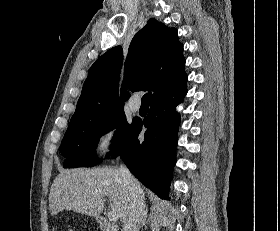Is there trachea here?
I'll list each match as a JSON object with an SVG mask.
<instances>
[{"label":"trachea","mask_w":280,"mask_h":231,"mask_svg":"<svg viewBox=\"0 0 280 231\" xmlns=\"http://www.w3.org/2000/svg\"><path fill=\"white\" fill-rule=\"evenodd\" d=\"M151 96H152V93H146L141 100V104L149 106Z\"/></svg>","instance_id":"3493384b"}]
</instances>
